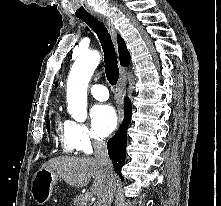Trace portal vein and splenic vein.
<instances>
[{"mask_svg":"<svg viewBox=\"0 0 221 206\" xmlns=\"http://www.w3.org/2000/svg\"><path fill=\"white\" fill-rule=\"evenodd\" d=\"M91 197H92V194H91V193H87V194L85 195V198L88 199V200H89Z\"/></svg>","mask_w":221,"mask_h":206,"instance_id":"18ae733b","label":"portal vein and splenic vein"}]
</instances>
